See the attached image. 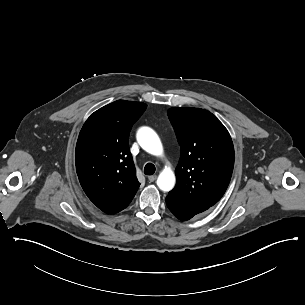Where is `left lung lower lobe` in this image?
I'll return each mask as SVG.
<instances>
[{
	"instance_id": "obj_1",
	"label": "left lung lower lobe",
	"mask_w": 305,
	"mask_h": 305,
	"mask_svg": "<svg viewBox=\"0 0 305 305\" xmlns=\"http://www.w3.org/2000/svg\"><path fill=\"white\" fill-rule=\"evenodd\" d=\"M166 204L169 210L180 220L186 221L194 217L195 215L203 212L198 209H192L182 205L181 203L177 202L175 199L167 196L166 197Z\"/></svg>"
}]
</instances>
